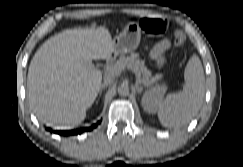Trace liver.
<instances>
[{"mask_svg": "<svg viewBox=\"0 0 243 167\" xmlns=\"http://www.w3.org/2000/svg\"><path fill=\"white\" fill-rule=\"evenodd\" d=\"M113 46L108 29L98 27L67 30L41 47L30 68L29 84L42 122L71 129L85 119L102 82V72L92 59L110 58Z\"/></svg>", "mask_w": 243, "mask_h": 167, "instance_id": "obj_1", "label": "liver"}]
</instances>
